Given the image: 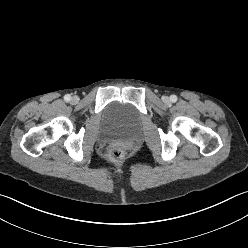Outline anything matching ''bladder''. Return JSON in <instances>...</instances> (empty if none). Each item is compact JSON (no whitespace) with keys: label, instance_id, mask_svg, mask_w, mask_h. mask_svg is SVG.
I'll list each match as a JSON object with an SVG mask.
<instances>
[{"label":"bladder","instance_id":"31cf9c89","mask_svg":"<svg viewBox=\"0 0 248 248\" xmlns=\"http://www.w3.org/2000/svg\"><path fill=\"white\" fill-rule=\"evenodd\" d=\"M140 113L131 105L111 102L101 113V131L108 139L131 135L140 124Z\"/></svg>","mask_w":248,"mask_h":248}]
</instances>
